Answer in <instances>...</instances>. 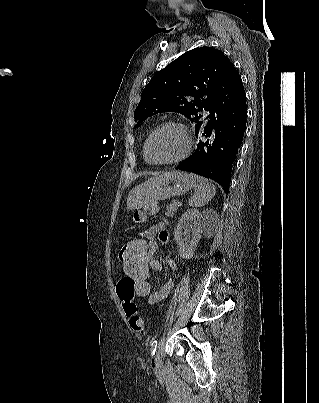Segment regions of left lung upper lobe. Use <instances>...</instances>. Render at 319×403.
<instances>
[{
	"mask_svg": "<svg viewBox=\"0 0 319 403\" xmlns=\"http://www.w3.org/2000/svg\"><path fill=\"white\" fill-rule=\"evenodd\" d=\"M232 65L215 48L187 51L152 77L142 91L134 119L141 123L157 113L177 112L195 123L197 132L203 125L199 112L209 110Z\"/></svg>",
	"mask_w": 319,
	"mask_h": 403,
	"instance_id": "5c2ea615",
	"label": "left lung upper lobe"
}]
</instances>
